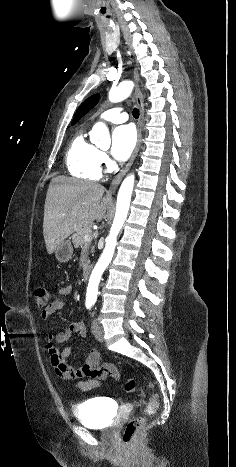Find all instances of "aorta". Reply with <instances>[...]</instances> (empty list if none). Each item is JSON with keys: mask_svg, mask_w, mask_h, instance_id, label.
I'll list each match as a JSON object with an SVG mask.
<instances>
[{"mask_svg": "<svg viewBox=\"0 0 236 467\" xmlns=\"http://www.w3.org/2000/svg\"><path fill=\"white\" fill-rule=\"evenodd\" d=\"M134 83L132 81H123L117 87L111 88L108 94L109 101L112 103H117L126 99L132 92ZM108 129L106 125L102 122H97L90 133L91 141L100 145L102 139H108ZM135 176L133 174L128 175L122 182L116 204V212L111 226L109 235L106 238L105 248L92 270L91 276L89 278V283L87 287L86 300L95 301L98 294V286L102 277L103 272L110 263L115 247L117 244V236L124 225V222L127 218L131 195L133 191Z\"/></svg>", "mask_w": 236, "mask_h": 467, "instance_id": "obj_1", "label": "aorta"}]
</instances>
